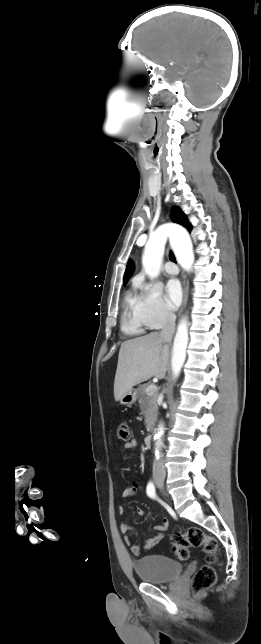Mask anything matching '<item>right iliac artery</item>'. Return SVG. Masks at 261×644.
Wrapping results in <instances>:
<instances>
[{
	"instance_id": "right-iliac-artery-1",
	"label": "right iliac artery",
	"mask_w": 261,
	"mask_h": 644,
	"mask_svg": "<svg viewBox=\"0 0 261 644\" xmlns=\"http://www.w3.org/2000/svg\"><path fill=\"white\" fill-rule=\"evenodd\" d=\"M146 493L150 498H156L155 486L152 481H150L146 488Z\"/></svg>"
}]
</instances>
